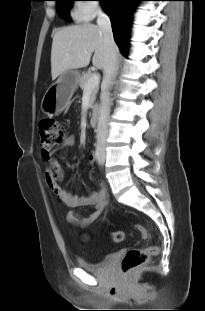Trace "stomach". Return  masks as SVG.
<instances>
[{"instance_id":"1","label":"stomach","mask_w":205,"mask_h":311,"mask_svg":"<svg viewBox=\"0 0 205 311\" xmlns=\"http://www.w3.org/2000/svg\"><path fill=\"white\" fill-rule=\"evenodd\" d=\"M80 73L66 71L46 91L41 102L42 111L48 115L61 113L78 87Z\"/></svg>"}]
</instances>
